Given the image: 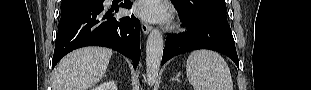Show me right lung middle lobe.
Listing matches in <instances>:
<instances>
[{
  "label": "right lung middle lobe",
  "mask_w": 311,
  "mask_h": 90,
  "mask_svg": "<svg viewBox=\"0 0 311 90\" xmlns=\"http://www.w3.org/2000/svg\"><path fill=\"white\" fill-rule=\"evenodd\" d=\"M103 0H62L61 16L78 8L100 4Z\"/></svg>",
  "instance_id": "dd1d6c3e"
}]
</instances>
